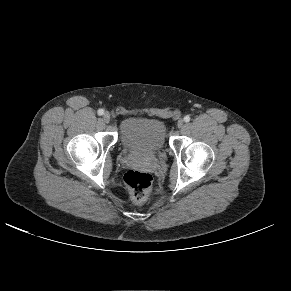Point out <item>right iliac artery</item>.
Here are the masks:
<instances>
[{"label": "right iliac artery", "mask_w": 291, "mask_h": 291, "mask_svg": "<svg viewBox=\"0 0 291 291\" xmlns=\"http://www.w3.org/2000/svg\"><path fill=\"white\" fill-rule=\"evenodd\" d=\"M97 112H98V115H100V116L104 114V110L103 109H99Z\"/></svg>", "instance_id": "obj_1"}]
</instances>
